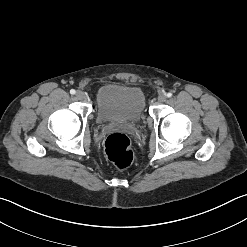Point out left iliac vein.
Masks as SVG:
<instances>
[{
    "mask_svg": "<svg viewBox=\"0 0 247 247\" xmlns=\"http://www.w3.org/2000/svg\"><path fill=\"white\" fill-rule=\"evenodd\" d=\"M167 100V96L165 94H160L158 96V101L159 102H165Z\"/></svg>",
    "mask_w": 247,
    "mask_h": 247,
    "instance_id": "left-iliac-vein-1",
    "label": "left iliac vein"
}]
</instances>
